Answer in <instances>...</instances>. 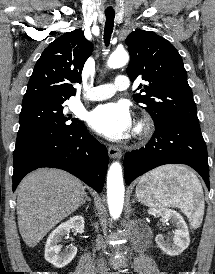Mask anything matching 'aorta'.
Returning a JSON list of instances; mask_svg holds the SVG:
<instances>
[{"label":"aorta","instance_id":"762f6f07","mask_svg":"<svg viewBox=\"0 0 215 274\" xmlns=\"http://www.w3.org/2000/svg\"><path fill=\"white\" fill-rule=\"evenodd\" d=\"M129 60V55L126 51H115L108 59L107 65L110 68H119L124 66ZM124 184L122 176V168L119 162H114L107 175V197L110 215L117 219L119 218L124 203Z\"/></svg>","mask_w":215,"mask_h":274}]
</instances>
